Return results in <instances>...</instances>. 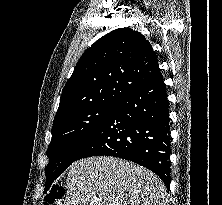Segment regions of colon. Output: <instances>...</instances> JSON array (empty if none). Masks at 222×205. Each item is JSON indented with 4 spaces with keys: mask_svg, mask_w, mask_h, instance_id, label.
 <instances>
[{
    "mask_svg": "<svg viewBox=\"0 0 222 205\" xmlns=\"http://www.w3.org/2000/svg\"><path fill=\"white\" fill-rule=\"evenodd\" d=\"M65 189L61 185H56L52 188L45 199V205H63V197Z\"/></svg>",
    "mask_w": 222,
    "mask_h": 205,
    "instance_id": "5ec220e1",
    "label": "colon"
}]
</instances>
